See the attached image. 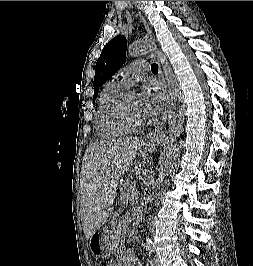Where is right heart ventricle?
Wrapping results in <instances>:
<instances>
[{"instance_id": "1", "label": "right heart ventricle", "mask_w": 253, "mask_h": 266, "mask_svg": "<svg viewBox=\"0 0 253 266\" xmlns=\"http://www.w3.org/2000/svg\"><path fill=\"white\" fill-rule=\"evenodd\" d=\"M127 87L114 79L102 90L95 114L97 134L102 139H113L129 132L114 117V108Z\"/></svg>"}]
</instances>
